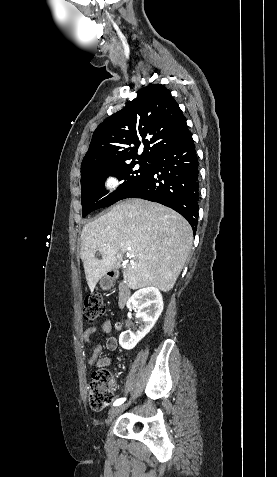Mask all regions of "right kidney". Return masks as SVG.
<instances>
[{"label":"right kidney","instance_id":"1","mask_svg":"<svg viewBox=\"0 0 277 477\" xmlns=\"http://www.w3.org/2000/svg\"><path fill=\"white\" fill-rule=\"evenodd\" d=\"M127 308L136 310V318L143 322L138 330L128 329L119 336L120 346L123 349L131 350L155 325L163 311V298L155 287L142 288L129 298Z\"/></svg>","mask_w":277,"mask_h":477}]
</instances>
